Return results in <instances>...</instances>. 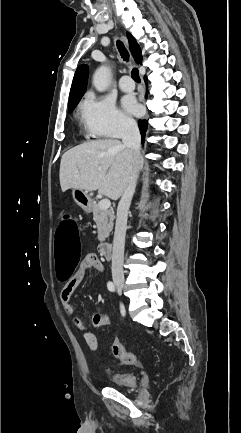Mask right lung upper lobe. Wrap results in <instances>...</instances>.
Returning <instances> with one entry per match:
<instances>
[{"mask_svg": "<svg viewBox=\"0 0 241 433\" xmlns=\"http://www.w3.org/2000/svg\"><path fill=\"white\" fill-rule=\"evenodd\" d=\"M127 37L129 40V45H130V50L132 52V55L134 56L136 62L141 64L142 55L138 43L130 33H127ZM87 78H88V67L86 65H81L80 67H78L74 75L73 83L70 90L69 108L78 104L79 100L83 96L86 90Z\"/></svg>", "mask_w": 241, "mask_h": 433, "instance_id": "1", "label": "right lung upper lobe"}]
</instances>
